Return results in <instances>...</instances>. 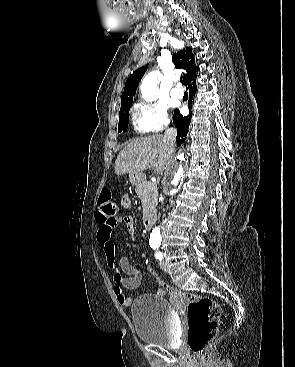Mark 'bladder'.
Masks as SVG:
<instances>
[{
	"label": "bladder",
	"mask_w": 295,
	"mask_h": 367,
	"mask_svg": "<svg viewBox=\"0 0 295 367\" xmlns=\"http://www.w3.org/2000/svg\"><path fill=\"white\" fill-rule=\"evenodd\" d=\"M131 317L138 338L145 343L172 348L177 341L173 309L167 299L143 294L131 307Z\"/></svg>",
	"instance_id": "bladder-1"
}]
</instances>
